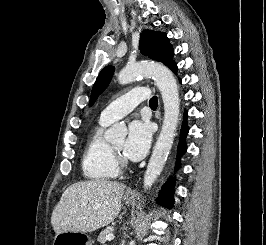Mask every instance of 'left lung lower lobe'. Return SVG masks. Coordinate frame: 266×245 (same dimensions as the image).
Returning <instances> with one entry per match:
<instances>
[{"instance_id":"1","label":"left lung lower lobe","mask_w":266,"mask_h":245,"mask_svg":"<svg viewBox=\"0 0 266 245\" xmlns=\"http://www.w3.org/2000/svg\"><path fill=\"white\" fill-rule=\"evenodd\" d=\"M170 69L173 72L177 71V65L173 64ZM187 111L184 112V121L182 124L181 132H180V142L178 145V156L184 154L186 152V146L184 144V140L186 135L188 134V127H187ZM180 166L179 160L177 161L176 168ZM160 197L157 198V202L160 205L166 206L167 208H172L173 206V181L169 180L163 189L160 192Z\"/></svg>"}]
</instances>
